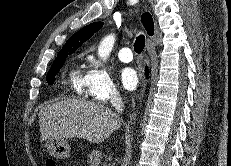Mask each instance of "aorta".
Returning a JSON list of instances; mask_svg holds the SVG:
<instances>
[{
  "instance_id": "aorta-1",
  "label": "aorta",
  "mask_w": 231,
  "mask_h": 166,
  "mask_svg": "<svg viewBox=\"0 0 231 166\" xmlns=\"http://www.w3.org/2000/svg\"><path fill=\"white\" fill-rule=\"evenodd\" d=\"M114 43H115L114 35H108L100 42V45L98 47V55L101 59L106 60L109 57L113 49Z\"/></svg>"
}]
</instances>
